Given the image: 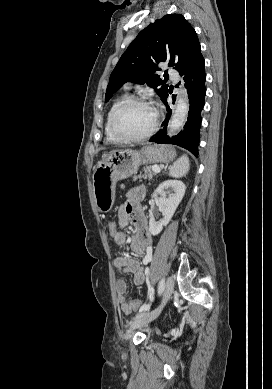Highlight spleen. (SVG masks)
<instances>
[{
    "mask_svg": "<svg viewBox=\"0 0 272 389\" xmlns=\"http://www.w3.org/2000/svg\"><path fill=\"white\" fill-rule=\"evenodd\" d=\"M189 168V158L187 155H183L170 167L169 175L175 178L183 177L188 173Z\"/></svg>",
    "mask_w": 272,
    "mask_h": 389,
    "instance_id": "3e777b00",
    "label": "spleen"
}]
</instances>
